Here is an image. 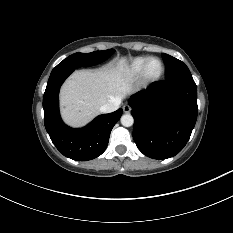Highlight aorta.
<instances>
[{
    "label": "aorta",
    "instance_id": "762f6f07",
    "mask_svg": "<svg viewBox=\"0 0 233 233\" xmlns=\"http://www.w3.org/2000/svg\"><path fill=\"white\" fill-rule=\"evenodd\" d=\"M121 124L125 127H130L134 123V119L131 114H124L121 116Z\"/></svg>",
    "mask_w": 233,
    "mask_h": 233
}]
</instances>
